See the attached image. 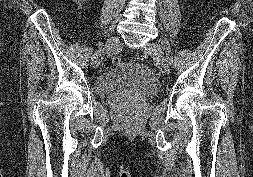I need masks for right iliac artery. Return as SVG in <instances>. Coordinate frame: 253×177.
Segmentation results:
<instances>
[{
  "instance_id": "1",
  "label": "right iliac artery",
  "mask_w": 253,
  "mask_h": 177,
  "mask_svg": "<svg viewBox=\"0 0 253 177\" xmlns=\"http://www.w3.org/2000/svg\"><path fill=\"white\" fill-rule=\"evenodd\" d=\"M100 52H101V50L96 51V57H99Z\"/></svg>"
}]
</instances>
